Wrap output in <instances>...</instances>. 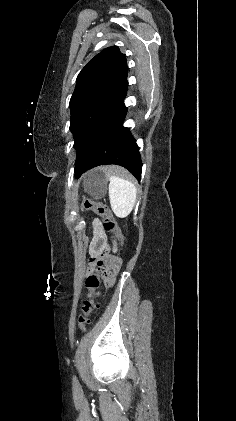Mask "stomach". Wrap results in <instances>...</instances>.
Masks as SVG:
<instances>
[{
    "label": "stomach",
    "mask_w": 236,
    "mask_h": 421,
    "mask_svg": "<svg viewBox=\"0 0 236 421\" xmlns=\"http://www.w3.org/2000/svg\"><path fill=\"white\" fill-rule=\"evenodd\" d=\"M107 180L108 178L105 172H102L101 168H94V170H90V172L86 174L84 186L87 192H89L95 200H98V198H103L106 194Z\"/></svg>",
    "instance_id": "0dacf381"
}]
</instances>
